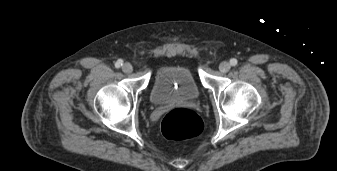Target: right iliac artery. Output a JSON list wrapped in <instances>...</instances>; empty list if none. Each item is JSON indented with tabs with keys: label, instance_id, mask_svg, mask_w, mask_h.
I'll return each instance as SVG.
<instances>
[{
	"label": "right iliac artery",
	"instance_id": "obj_1",
	"mask_svg": "<svg viewBox=\"0 0 337 171\" xmlns=\"http://www.w3.org/2000/svg\"><path fill=\"white\" fill-rule=\"evenodd\" d=\"M123 64V61L122 60H118L116 63H115V67L116 68H120Z\"/></svg>",
	"mask_w": 337,
	"mask_h": 171
}]
</instances>
